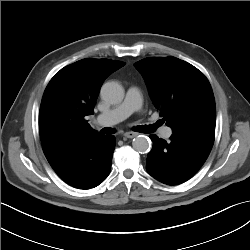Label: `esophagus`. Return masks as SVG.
Segmentation results:
<instances>
[{"instance_id": "esophagus-1", "label": "esophagus", "mask_w": 250, "mask_h": 250, "mask_svg": "<svg viewBox=\"0 0 250 250\" xmlns=\"http://www.w3.org/2000/svg\"><path fill=\"white\" fill-rule=\"evenodd\" d=\"M124 136L126 137V138H134V137H136L137 136V133H135V132H126L125 134H124Z\"/></svg>"}]
</instances>
